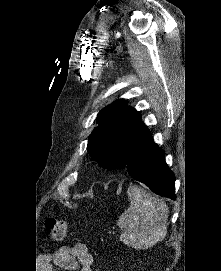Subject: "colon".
<instances>
[{
	"mask_svg": "<svg viewBox=\"0 0 221 271\" xmlns=\"http://www.w3.org/2000/svg\"><path fill=\"white\" fill-rule=\"evenodd\" d=\"M46 229L51 234L54 241L61 242L66 238V223L63 220H58L49 217L46 220Z\"/></svg>",
	"mask_w": 221,
	"mask_h": 271,
	"instance_id": "obj_1",
	"label": "colon"
}]
</instances>
